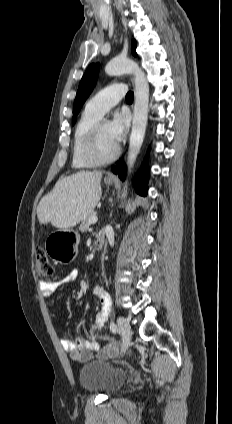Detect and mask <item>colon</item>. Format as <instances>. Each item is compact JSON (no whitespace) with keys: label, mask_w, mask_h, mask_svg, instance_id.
Segmentation results:
<instances>
[{"label":"colon","mask_w":232,"mask_h":424,"mask_svg":"<svg viewBox=\"0 0 232 424\" xmlns=\"http://www.w3.org/2000/svg\"><path fill=\"white\" fill-rule=\"evenodd\" d=\"M35 262H36V271L37 274L44 278H49L53 275V267L48 260V257L45 251L42 248H38L35 250ZM101 343L109 345L110 348L119 347L114 338L110 336L102 337ZM117 345V346H116Z\"/></svg>","instance_id":"obj_1"}]
</instances>
